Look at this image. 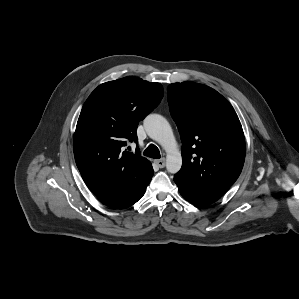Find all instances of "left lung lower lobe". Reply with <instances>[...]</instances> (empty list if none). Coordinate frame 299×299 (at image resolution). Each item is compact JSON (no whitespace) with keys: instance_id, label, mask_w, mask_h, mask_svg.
Here are the masks:
<instances>
[{"instance_id":"1","label":"left lung lower lobe","mask_w":299,"mask_h":299,"mask_svg":"<svg viewBox=\"0 0 299 299\" xmlns=\"http://www.w3.org/2000/svg\"><path fill=\"white\" fill-rule=\"evenodd\" d=\"M181 195L195 205H208L217 201L221 196L190 185L178 177H174Z\"/></svg>"}]
</instances>
